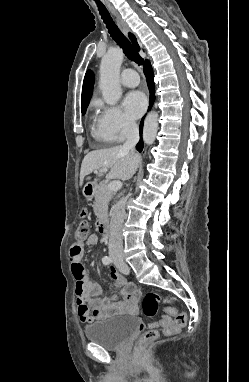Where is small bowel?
Listing matches in <instances>:
<instances>
[{"instance_id": "obj_1", "label": "small bowel", "mask_w": 249, "mask_h": 382, "mask_svg": "<svg viewBox=\"0 0 249 382\" xmlns=\"http://www.w3.org/2000/svg\"><path fill=\"white\" fill-rule=\"evenodd\" d=\"M98 242V236L91 234L83 242H75L69 252L71 268L75 283L77 313L82 323L105 319L115 314L133 313L137 307L139 291L133 282L112 268L110 277L116 287H119L121 300L115 297L102 296L101 287L93 282L82 265V258L88 246ZM175 310V309H174Z\"/></svg>"}]
</instances>
